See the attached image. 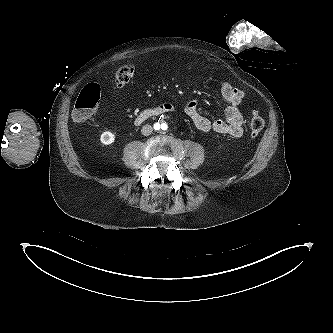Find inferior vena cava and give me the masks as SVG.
<instances>
[{
    "instance_id": "inferior-vena-cava-1",
    "label": "inferior vena cava",
    "mask_w": 333,
    "mask_h": 333,
    "mask_svg": "<svg viewBox=\"0 0 333 333\" xmlns=\"http://www.w3.org/2000/svg\"><path fill=\"white\" fill-rule=\"evenodd\" d=\"M153 131V128L151 125H144L141 129V133L144 135V136H149Z\"/></svg>"
}]
</instances>
